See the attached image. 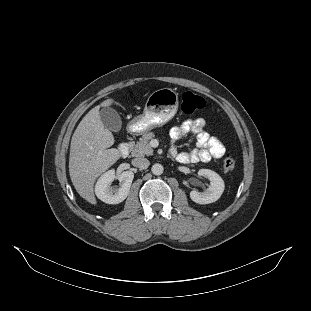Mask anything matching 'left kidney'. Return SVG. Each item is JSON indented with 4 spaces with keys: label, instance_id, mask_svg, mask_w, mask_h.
<instances>
[{
    "label": "left kidney",
    "instance_id": "1",
    "mask_svg": "<svg viewBox=\"0 0 311 311\" xmlns=\"http://www.w3.org/2000/svg\"><path fill=\"white\" fill-rule=\"evenodd\" d=\"M198 175L208 178L211 186L204 193L192 190L190 192L191 199L199 204H208L217 201L225 190L224 180L216 172L205 168L200 169Z\"/></svg>",
    "mask_w": 311,
    "mask_h": 311
}]
</instances>
